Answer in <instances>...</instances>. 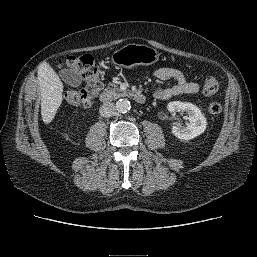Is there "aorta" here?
Listing matches in <instances>:
<instances>
[{
  "label": "aorta",
  "mask_w": 257,
  "mask_h": 257,
  "mask_svg": "<svg viewBox=\"0 0 257 257\" xmlns=\"http://www.w3.org/2000/svg\"><path fill=\"white\" fill-rule=\"evenodd\" d=\"M131 109L128 99H120L116 102V110L120 113H127Z\"/></svg>",
  "instance_id": "762f6f07"
}]
</instances>
